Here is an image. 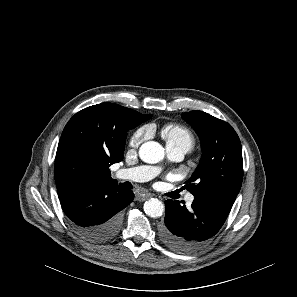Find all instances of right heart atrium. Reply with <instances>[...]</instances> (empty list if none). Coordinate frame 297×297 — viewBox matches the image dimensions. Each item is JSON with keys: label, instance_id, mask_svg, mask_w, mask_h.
<instances>
[{"label": "right heart atrium", "instance_id": "1", "mask_svg": "<svg viewBox=\"0 0 297 297\" xmlns=\"http://www.w3.org/2000/svg\"><path fill=\"white\" fill-rule=\"evenodd\" d=\"M148 130L146 128H140L133 133L130 138V146L133 148H137L141 142L145 139Z\"/></svg>", "mask_w": 297, "mask_h": 297}]
</instances>
